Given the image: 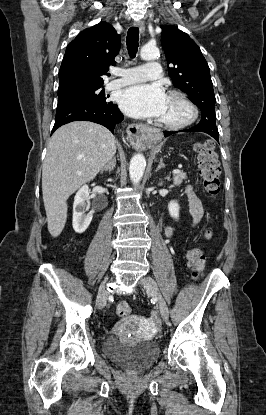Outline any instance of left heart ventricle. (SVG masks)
<instances>
[{
  "instance_id": "b2bd125f",
  "label": "left heart ventricle",
  "mask_w": 266,
  "mask_h": 415,
  "mask_svg": "<svg viewBox=\"0 0 266 415\" xmlns=\"http://www.w3.org/2000/svg\"><path fill=\"white\" fill-rule=\"evenodd\" d=\"M189 116L188 109L177 99L167 97V103L161 116L160 121L178 123Z\"/></svg>"
}]
</instances>
